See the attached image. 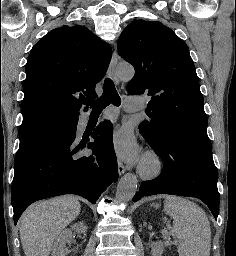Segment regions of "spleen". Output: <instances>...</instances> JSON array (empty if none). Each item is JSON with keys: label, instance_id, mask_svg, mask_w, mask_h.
I'll return each mask as SVG.
<instances>
[{"label": "spleen", "instance_id": "1", "mask_svg": "<svg viewBox=\"0 0 236 256\" xmlns=\"http://www.w3.org/2000/svg\"><path fill=\"white\" fill-rule=\"evenodd\" d=\"M164 208L173 218L179 256H210L211 228L202 208L175 196H167Z\"/></svg>", "mask_w": 236, "mask_h": 256}]
</instances>
